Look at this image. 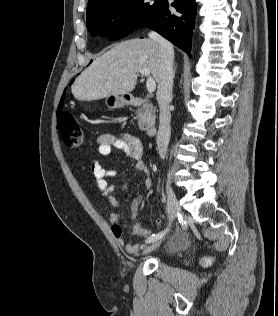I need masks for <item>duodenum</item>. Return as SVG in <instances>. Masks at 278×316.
<instances>
[{"instance_id":"1","label":"duodenum","mask_w":278,"mask_h":316,"mask_svg":"<svg viewBox=\"0 0 278 316\" xmlns=\"http://www.w3.org/2000/svg\"><path fill=\"white\" fill-rule=\"evenodd\" d=\"M124 100L127 104L133 105V106H141L144 104V100L140 97H136L134 95H125ZM157 132L156 125H149L146 127V133L149 136L155 135Z\"/></svg>"}]
</instances>
